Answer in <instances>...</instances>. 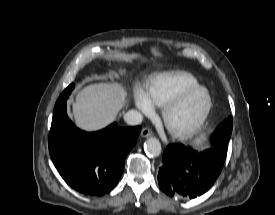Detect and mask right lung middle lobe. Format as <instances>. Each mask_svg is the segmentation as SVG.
I'll use <instances>...</instances> for the list:
<instances>
[{
  "instance_id": "1",
  "label": "right lung middle lobe",
  "mask_w": 275,
  "mask_h": 215,
  "mask_svg": "<svg viewBox=\"0 0 275 215\" xmlns=\"http://www.w3.org/2000/svg\"><path fill=\"white\" fill-rule=\"evenodd\" d=\"M74 86V83H72L63 91V93L59 96L56 105L68 98V96L71 94V91L74 89Z\"/></svg>"
}]
</instances>
